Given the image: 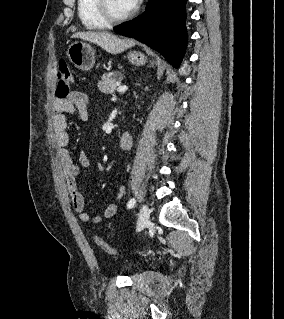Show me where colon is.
Instances as JSON below:
<instances>
[{
  "instance_id": "5ec220e1",
  "label": "colon",
  "mask_w": 284,
  "mask_h": 319,
  "mask_svg": "<svg viewBox=\"0 0 284 319\" xmlns=\"http://www.w3.org/2000/svg\"><path fill=\"white\" fill-rule=\"evenodd\" d=\"M73 85V75L71 70L66 62H60L58 66V83L56 89V96L59 99H65L71 93V88ZM95 244L104 250L107 253H118V250L110 246L104 239L101 237H94Z\"/></svg>"
}]
</instances>
